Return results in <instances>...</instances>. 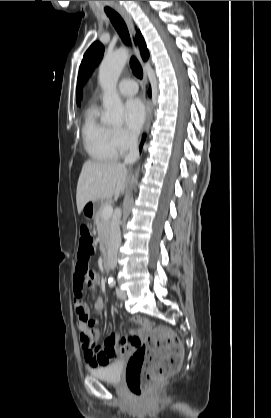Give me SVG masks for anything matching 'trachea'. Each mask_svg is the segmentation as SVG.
I'll use <instances>...</instances> for the list:
<instances>
[{"mask_svg":"<svg viewBox=\"0 0 271 418\" xmlns=\"http://www.w3.org/2000/svg\"><path fill=\"white\" fill-rule=\"evenodd\" d=\"M107 16L110 18L114 28L120 35L122 41L129 45L130 44V36L127 29V26L121 16L112 9H105ZM130 67L137 78H142L143 70L137 59L133 56L130 59Z\"/></svg>","mask_w":271,"mask_h":418,"instance_id":"1","label":"trachea"}]
</instances>
